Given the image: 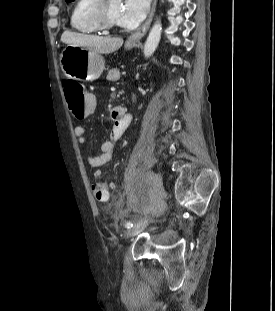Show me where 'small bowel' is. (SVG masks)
<instances>
[{
	"mask_svg": "<svg viewBox=\"0 0 275 311\" xmlns=\"http://www.w3.org/2000/svg\"><path fill=\"white\" fill-rule=\"evenodd\" d=\"M130 122L131 116L127 114L126 110H113L109 119H107V126H112L109 139L102 143L101 153L99 155H88L86 157V163L89 167H101L112 159L116 143L122 137ZM74 135L79 144H85L86 130L83 126H76L74 129Z\"/></svg>",
	"mask_w": 275,
	"mask_h": 311,
	"instance_id": "1",
	"label": "small bowel"
}]
</instances>
